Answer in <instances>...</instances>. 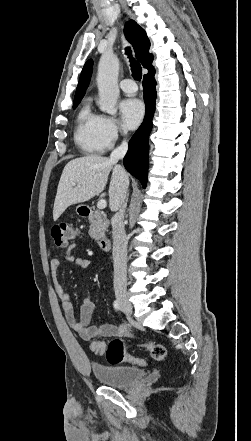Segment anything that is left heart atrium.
Here are the masks:
<instances>
[{"instance_id":"39dd6f15","label":"left heart atrium","mask_w":251,"mask_h":441,"mask_svg":"<svg viewBox=\"0 0 251 441\" xmlns=\"http://www.w3.org/2000/svg\"><path fill=\"white\" fill-rule=\"evenodd\" d=\"M120 114L123 125L128 129L136 128L143 119L144 105L136 98H128L120 103Z\"/></svg>"}]
</instances>
